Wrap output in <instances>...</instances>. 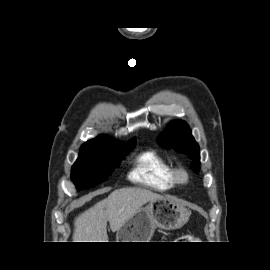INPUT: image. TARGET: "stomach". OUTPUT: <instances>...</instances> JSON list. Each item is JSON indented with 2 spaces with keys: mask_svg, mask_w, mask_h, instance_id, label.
<instances>
[{
  "mask_svg": "<svg viewBox=\"0 0 270 270\" xmlns=\"http://www.w3.org/2000/svg\"><path fill=\"white\" fill-rule=\"evenodd\" d=\"M190 211L179 201L162 197L141 207L135 215L117 230V242H149L156 228L174 230L182 227Z\"/></svg>",
  "mask_w": 270,
  "mask_h": 270,
  "instance_id": "stomach-1",
  "label": "stomach"
}]
</instances>
